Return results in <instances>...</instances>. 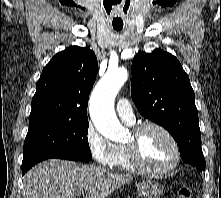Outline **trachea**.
I'll return each instance as SVG.
<instances>
[{
    "mask_svg": "<svg viewBox=\"0 0 221 198\" xmlns=\"http://www.w3.org/2000/svg\"><path fill=\"white\" fill-rule=\"evenodd\" d=\"M115 30L119 31L121 30L122 28H119V27H114Z\"/></svg>",
    "mask_w": 221,
    "mask_h": 198,
    "instance_id": "1",
    "label": "trachea"
}]
</instances>
